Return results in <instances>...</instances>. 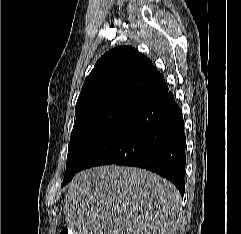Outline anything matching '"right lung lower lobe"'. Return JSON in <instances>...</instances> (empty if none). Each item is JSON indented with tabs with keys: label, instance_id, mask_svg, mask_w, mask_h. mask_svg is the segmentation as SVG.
Segmentation results:
<instances>
[{
	"label": "right lung lower lobe",
	"instance_id": "1",
	"mask_svg": "<svg viewBox=\"0 0 241 234\" xmlns=\"http://www.w3.org/2000/svg\"><path fill=\"white\" fill-rule=\"evenodd\" d=\"M185 149L182 113L165 83L103 137L81 170L109 164L144 168L173 182L183 196Z\"/></svg>",
	"mask_w": 241,
	"mask_h": 234
}]
</instances>
